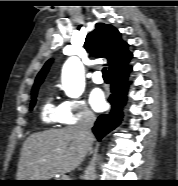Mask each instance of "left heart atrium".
Wrapping results in <instances>:
<instances>
[{
	"label": "left heart atrium",
	"mask_w": 178,
	"mask_h": 186,
	"mask_svg": "<svg viewBox=\"0 0 178 186\" xmlns=\"http://www.w3.org/2000/svg\"><path fill=\"white\" fill-rule=\"evenodd\" d=\"M90 104L96 111H102L105 108V95L101 89H94L90 94Z\"/></svg>",
	"instance_id": "39dd6f15"
}]
</instances>
